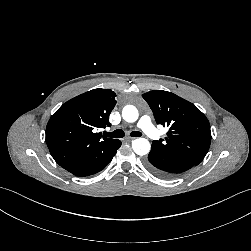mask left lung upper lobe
Returning a JSON list of instances; mask_svg holds the SVG:
<instances>
[{
	"instance_id": "left-lung-upper-lobe-1",
	"label": "left lung upper lobe",
	"mask_w": 251,
	"mask_h": 251,
	"mask_svg": "<svg viewBox=\"0 0 251 251\" xmlns=\"http://www.w3.org/2000/svg\"><path fill=\"white\" fill-rule=\"evenodd\" d=\"M142 97L152 109L157 123L169 127L165 141H153L152 147L198 165L211 143L206 116L192 103L168 91L153 90Z\"/></svg>"
}]
</instances>
